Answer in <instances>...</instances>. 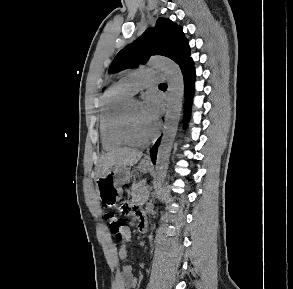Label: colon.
Listing matches in <instances>:
<instances>
[{
    "label": "colon",
    "mask_w": 293,
    "mask_h": 289,
    "mask_svg": "<svg viewBox=\"0 0 293 289\" xmlns=\"http://www.w3.org/2000/svg\"><path fill=\"white\" fill-rule=\"evenodd\" d=\"M140 211L133 205L128 202H124L120 207V213L122 215H135ZM105 219L108 225L110 232L117 237H123L125 230V221L114 212H107L105 215Z\"/></svg>",
    "instance_id": "1"
}]
</instances>
